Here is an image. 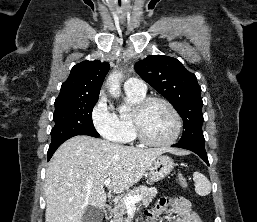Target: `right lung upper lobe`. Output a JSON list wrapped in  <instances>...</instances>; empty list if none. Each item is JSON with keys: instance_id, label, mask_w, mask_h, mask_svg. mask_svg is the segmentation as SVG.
I'll return each mask as SVG.
<instances>
[{"instance_id": "obj_1", "label": "right lung upper lobe", "mask_w": 257, "mask_h": 222, "mask_svg": "<svg viewBox=\"0 0 257 222\" xmlns=\"http://www.w3.org/2000/svg\"><path fill=\"white\" fill-rule=\"evenodd\" d=\"M110 66L107 62L83 61L76 64L68 79L62 84L60 94L55 102L87 96H96Z\"/></svg>"}]
</instances>
